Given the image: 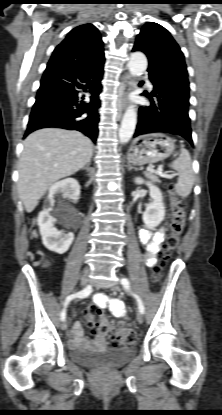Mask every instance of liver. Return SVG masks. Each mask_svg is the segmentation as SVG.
<instances>
[{
    "label": "liver",
    "mask_w": 222,
    "mask_h": 415,
    "mask_svg": "<svg viewBox=\"0 0 222 415\" xmlns=\"http://www.w3.org/2000/svg\"><path fill=\"white\" fill-rule=\"evenodd\" d=\"M92 152V141L78 131L45 128L31 133L18 166V194L25 210L32 212L50 186L89 163Z\"/></svg>",
    "instance_id": "obj_1"
}]
</instances>
